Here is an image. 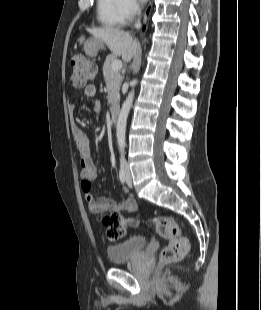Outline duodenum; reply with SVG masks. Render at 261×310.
Here are the masks:
<instances>
[{
	"label": "duodenum",
	"instance_id": "410a0bca",
	"mask_svg": "<svg viewBox=\"0 0 261 310\" xmlns=\"http://www.w3.org/2000/svg\"><path fill=\"white\" fill-rule=\"evenodd\" d=\"M119 114V105L117 104H112L110 109H109V119L111 122H115L118 118Z\"/></svg>",
	"mask_w": 261,
	"mask_h": 310
}]
</instances>
